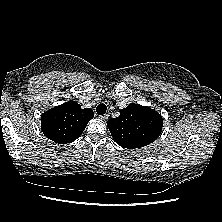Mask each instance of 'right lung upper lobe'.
<instances>
[{
	"mask_svg": "<svg viewBox=\"0 0 222 222\" xmlns=\"http://www.w3.org/2000/svg\"><path fill=\"white\" fill-rule=\"evenodd\" d=\"M91 109H82L73 100L56 106L41 116V129L50 140L66 144L75 141L93 118Z\"/></svg>",
	"mask_w": 222,
	"mask_h": 222,
	"instance_id": "right-lung-upper-lobe-1",
	"label": "right lung upper lobe"
}]
</instances>
